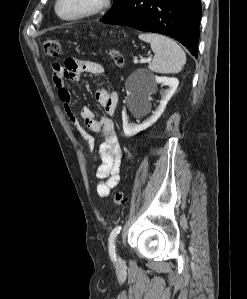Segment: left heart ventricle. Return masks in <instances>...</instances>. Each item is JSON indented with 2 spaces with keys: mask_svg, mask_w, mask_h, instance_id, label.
<instances>
[{
  "mask_svg": "<svg viewBox=\"0 0 247 299\" xmlns=\"http://www.w3.org/2000/svg\"><path fill=\"white\" fill-rule=\"evenodd\" d=\"M93 0H63L60 4V12L65 16L76 14L86 9Z\"/></svg>",
  "mask_w": 247,
  "mask_h": 299,
  "instance_id": "left-heart-ventricle-1",
  "label": "left heart ventricle"
}]
</instances>
